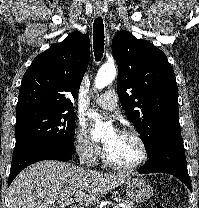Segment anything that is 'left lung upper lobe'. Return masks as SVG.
Returning a JSON list of instances; mask_svg holds the SVG:
<instances>
[{
    "mask_svg": "<svg viewBox=\"0 0 199 208\" xmlns=\"http://www.w3.org/2000/svg\"><path fill=\"white\" fill-rule=\"evenodd\" d=\"M112 52L121 105L149 152L162 135L180 130L173 68L161 50L127 31L114 36Z\"/></svg>",
    "mask_w": 199,
    "mask_h": 208,
    "instance_id": "left-lung-upper-lobe-1",
    "label": "left lung upper lobe"
}]
</instances>
